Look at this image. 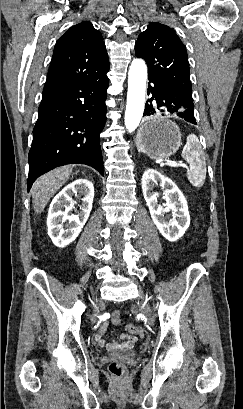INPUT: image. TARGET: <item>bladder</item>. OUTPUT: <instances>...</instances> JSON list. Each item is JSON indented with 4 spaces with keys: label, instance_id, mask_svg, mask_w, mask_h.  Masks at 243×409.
<instances>
[{
    "label": "bladder",
    "instance_id": "31cf9c89",
    "mask_svg": "<svg viewBox=\"0 0 243 409\" xmlns=\"http://www.w3.org/2000/svg\"><path fill=\"white\" fill-rule=\"evenodd\" d=\"M136 354H137V351L134 349L123 350L118 353L119 356L124 357V358L132 357V356H135Z\"/></svg>",
    "mask_w": 243,
    "mask_h": 409
}]
</instances>
